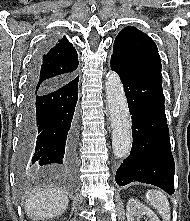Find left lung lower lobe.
<instances>
[{
    "label": "left lung lower lobe",
    "instance_id": "1",
    "mask_svg": "<svg viewBox=\"0 0 190 221\" xmlns=\"http://www.w3.org/2000/svg\"><path fill=\"white\" fill-rule=\"evenodd\" d=\"M111 68L124 85L130 115L133 144L130 155L116 173L124 186L143 182L174 193L175 164L170 149L161 73L140 70L111 58Z\"/></svg>",
    "mask_w": 190,
    "mask_h": 221
}]
</instances>
